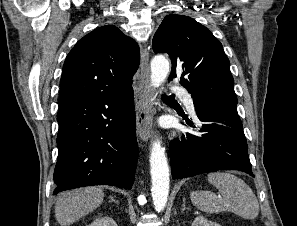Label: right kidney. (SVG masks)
I'll list each match as a JSON object with an SVG mask.
<instances>
[{
  "mask_svg": "<svg viewBox=\"0 0 297 226\" xmlns=\"http://www.w3.org/2000/svg\"><path fill=\"white\" fill-rule=\"evenodd\" d=\"M88 226H117L116 222L110 217H100L96 218Z\"/></svg>",
  "mask_w": 297,
  "mask_h": 226,
  "instance_id": "ca27d5eb",
  "label": "right kidney"
}]
</instances>
